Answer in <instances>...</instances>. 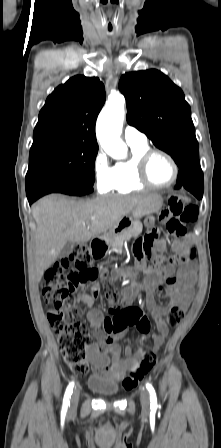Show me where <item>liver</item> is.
Segmentation results:
<instances>
[{"label":"liver","instance_id":"1","mask_svg":"<svg viewBox=\"0 0 221 448\" xmlns=\"http://www.w3.org/2000/svg\"><path fill=\"white\" fill-rule=\"evenodd\" d=\"M153 194L100 196L75 201L62 195H48L32 209L37 224L35 271L37 282L56 260L67 242L85 243L110 230Z\"/></svg>","mask_w":221,"mask_h":448}]
</instances>
